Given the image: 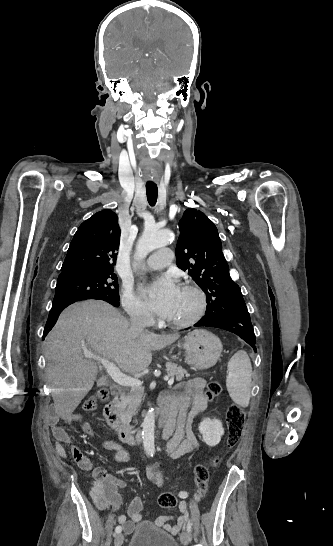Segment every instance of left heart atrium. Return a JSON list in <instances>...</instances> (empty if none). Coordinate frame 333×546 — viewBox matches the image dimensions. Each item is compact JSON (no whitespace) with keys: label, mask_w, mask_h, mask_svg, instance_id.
<instances>
[{"label":"left heart atrium","mask_w":333,"mask_h":546,"mask_svg":"<svg viewBox=\"0 0 333 546\" xmlns=\"http://www.w3.org/2000/svg\"><path fill=\"white\" fill-rule=\"evenodd\" d=\"M180 288L171 274L142 288V296L148 307L158 316L169 317Z\"/></svg>","instance_id":"39dd6f15"}]
</instances>
